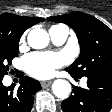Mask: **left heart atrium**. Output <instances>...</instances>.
I'll list each match as a JSON object with an SVG mask.
<instances>
[{
    "instance_id": "obj_1",
    "label": "left heart atrium",
    "mask_w": 112,
    "mask_h": 112,
    "mask_svg": "<svg viewBox=\"0 0 112 112\" xmlns=\"http://www.w3.org/2000/svg\"><path fill=\"white\" fill-rule=\"evenodd\" d=\"M68 62L63 52H33L23 58L26 72L39 79L51 77L55 71Z\"/></svg>"
}]
</instances>
